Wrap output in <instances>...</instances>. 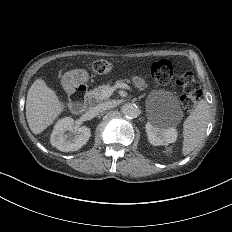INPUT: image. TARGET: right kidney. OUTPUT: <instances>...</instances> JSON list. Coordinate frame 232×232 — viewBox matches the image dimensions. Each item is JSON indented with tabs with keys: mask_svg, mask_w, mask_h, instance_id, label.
<instances>
[{
	"mask_svg": "<svg viewBox=\"0 0 232 232\" xmlns=\"http://www.w3.org/2000/svg\"><path fill=\"white\" fill-rule=\"evenodd\" d=\"M91 130L87 126L75 127L72 118L60 120L51 134V145L62 152L80 150L90 139Z\"/></svg>",
	"mask_w": 232,
	"mask_h": 232,
	"instance_id": "1",
	"label": "right kidney"
}]
</instances>
